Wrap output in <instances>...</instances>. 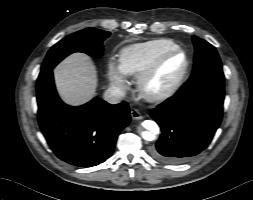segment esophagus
I'll list each match as a JSON object with an SVG mask.
<instances>
[{"instance_id": "34e87169", "label": "esophagus", "mask_w": 253, "mask_h": 200, "mask_svg": "<svg viewBox=\"0 0 253 200\" xmlns=\"http://www.w3.org/2000/svg\"><path fill=\"white\" fill-rule=\"evenodd\" d=\"M132 119L134 120H141L143 118V116L140 114V112L138 110H131L130 112Z\"/></svg>"}]
</instances>
